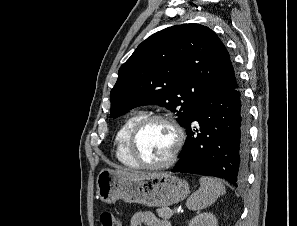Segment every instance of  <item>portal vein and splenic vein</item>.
<instances>
[{
    "instance_id": "portal-vein-and-splenic-vein-1",
    "label": "portal vein and splenic vein",
    "mask_w": 297,
    "mask_h": 226,
    "mask_svg": "<svg viewBox=\"0 0 297 226\" xmlns=\"http://www.w3.org/2000/svg\"><path fill=\"white\" fill-rule=\"evenodd\" d=\"M172 211L176 212L177 211V207H174Z\"/></svg>"
}]
</instances>
